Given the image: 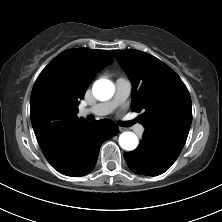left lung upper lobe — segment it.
<instances>
[{
  "mask_svg": "<svg viewBox=\"0 0 222 222\" xmlns=\"http://www.w3.org/2000/svg\"><path fill=\"white\" fill-rule=\"evenodd\" d=\"M132 81V111L145 132L155 133L181 152L192 122L190 94L180 77L156 57L139 51H112ZM179 131V133H177Z\"/></svg>",
  "mask_w": 222,
  "mask_h": 222,
  "instance_id": "left-lung-upper-lobe-1",
  "label": "left lung upper lobe"
}]
</instances>
